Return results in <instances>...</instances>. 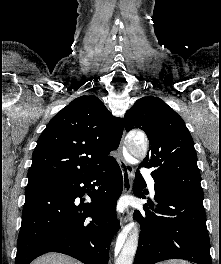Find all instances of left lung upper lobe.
Masks as SVG:
<instances>
[{
	"mask_svg": "<svg viewBox=\"0 0 221 264\" xmlns=\"http://www.w3.org/2000/svg\"><path fill=\"white\" fill-rule=\"evenodd\" d=\"M126 131L142 129L149 152L142 166L153 168L154 181L166 187L203 196L193 139L182 118L154 96L138 99L124 116Z\"/></svg>",
	"mask_w": 221,
	"mask_h": 264,
	"instance_id": "obj_1",
	"label": "left lung upper lobe"
}]
</instances>
